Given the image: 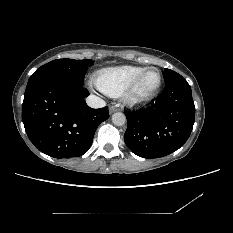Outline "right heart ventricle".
I'll list each match as a JSON object with an SVG mask.
<instances>
[{"label":"right heart ventricle","instance_id":"1","mask_svg":"<svg viewBox=\"0 0 233 233\" xmlns=\"http://www.w3.org/2000/svg\"><path fill=\"white\" fill-rule=\"evenodd\" d=\"M145 69L130 65L102 69L97 74V87L111 97H119L132 80Z\"/></svg>","mask_w":233,"mask_h":233}]
</instances>
